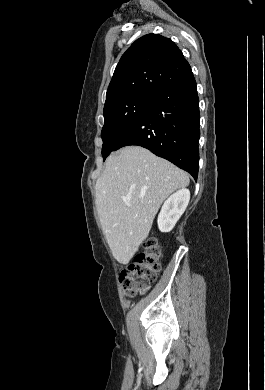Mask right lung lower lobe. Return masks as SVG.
I'll return each mask as SVG.
<instances>
[{
    "label": "right lung lower lobe",
    "mask_w": 265,
    "mask_h": 390,
    "mask_svg": "<svg viewBox=\"0 0 265 390\" xmlns=\"http://www.w3.org/2000/svg\"><path fill=\"white\" fill-rule=\"evenodd\" d=\"M199 98L190 71L158 94L121 136L115 150L138 145L165 158L197 179Z\"/></svg>",
    "instance_id": "98d812e1"
}]
</instances>
